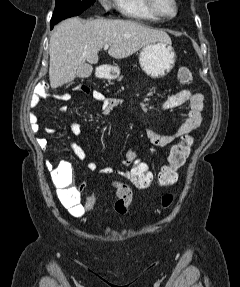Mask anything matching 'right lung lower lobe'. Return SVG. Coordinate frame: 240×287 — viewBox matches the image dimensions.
<instances>
[{
	"label": "right lung lower lobe",
	"mask_w": 240,
	"mask_h": 287,
	"mask_svg": "<svg viewBox=\"0 0 240 287\" xmlns=\"http://www.w3.org/2000/svg\"><path fill=\"white\" fill-rule=\"evenodd\" d=\"M54 25H51V29H53Z\"/></svg>",
	"instance_id": "right-lung-lower-lobe-1"
}]
</instances>
